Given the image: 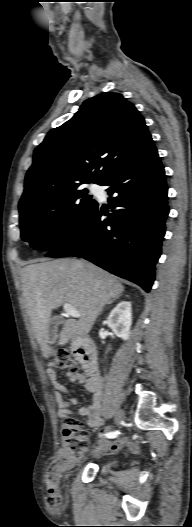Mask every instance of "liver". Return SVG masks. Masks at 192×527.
I'll list each match as a JSON object with an SVG mask.
<instances>
[{
	"label": "liver",
	"mask_w": 192,
	"mask_h": 527,
	"mask_svg": "<svg viewBox=\"0 0 192 527\" xmlns=\"http://www.w3.org/2000/svg\"><path fill=\"white\" fill-rule=\"evenodd\" d=\"M20 275L27 313L45 358L52 354L47 332L53 309L69 303L81 315L66 320L58 343L62 346L74 335H87L100 309L124 291L113 275L84 260L34 263L22 268Z\"/></svg>",
	"instance_id": "6515ba94"
}]
</instances>
